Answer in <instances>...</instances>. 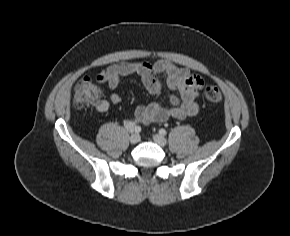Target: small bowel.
I'll return each instance as SVG.
<instances>
[{
  "instance_id": "c3829d8e",
  "label": "small bowel",
  "mask_w": 290,
  "mask_h": 236,
  "mask_svg": "<svg viewBox=\"0 0 290 236\" xmlns=\"http://www.w3.org/2000/svg\"><path fill=\"white\" fill-rule=\"evenodd\" d=\"M130 75H138L141 78L152 98L148 104L136 108L135 122L142 124L164 122L169 118L186 119L197 114L199 110L197 97L205 84L204 78L165 60L154 63L122 62L106 67L97 78L99 82L107 84L113 92L108 99L98 98L93 105L94 109L105 112L111 104H119L121 96L114 90L118 87L121 78ZM164 84L171 91L178 93V96L170 97L169 106H163L159 101ZM129 123L133 122L127 121L125 126Z\"/></svg>"
}]
</instances>
